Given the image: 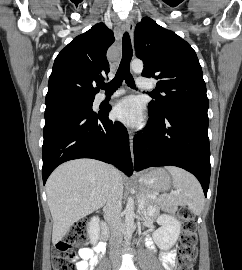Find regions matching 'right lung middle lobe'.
<instances>
[{
  "instance_id": "right-lung-middle-lobe-1",
  "label": "right lung middle lobe",
  "mask_w": 242,
  "mask_h": 270,
  "mask_svg": "<svg viewBox=\"0 0 242 270\" xmlns=\"http://www.w3.org/2000/svg\"><path fill=\"white\" fill-rule=\"evenodd\" d=\"M93 101H94V99L84 100V101L67 102V103H63V104H58V105L46 107L45 111H50L53 109L66 107V106H70V105H74V104H83L86 108H88L90 111H92Z\"/></svg>"
}]
</instances>
